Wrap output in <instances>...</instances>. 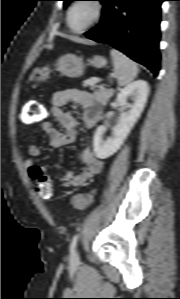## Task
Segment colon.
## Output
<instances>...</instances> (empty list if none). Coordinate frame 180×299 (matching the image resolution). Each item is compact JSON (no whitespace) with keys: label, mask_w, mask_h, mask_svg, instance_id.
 I'll return each instance as SVG.
<instances>
[{"label":"colon","mask_w":180,"mask_h":299,"mask_svg":"<svg viewBox=\"0 0 180 299\" xmlns=\"http://www.w3.org/2000/svg\"><path fill=\"white\" fill-rule=\"evenodd\" d=\"M25 116L29 122L42 121L47 118L48 111L45 105L31 101L27 104ZM34 188L43 199H51L53 197L54 189L51 183L48 181L38 182L34 185ZM88 204V195L81 194L73 199V205L78 209H84L88 206Z\"/></svg>","instance_id":"5ec220e1"}]
</instances>
